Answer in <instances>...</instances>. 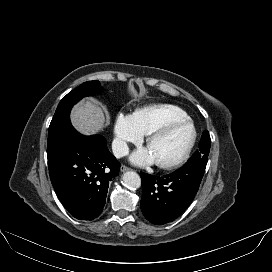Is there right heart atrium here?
I'll list each match as a JSON object with an SVG mask.
<instances>
[{"instance_id": "right-heart-atrium-1", "label": "right heart atrium", "mask_w": 272, "mask_h": 272, "mask_svg": "<svg viewBox=\"0 0 272 272\" xmlns=\"http://www.w3.org/2000/svg\"><path fill=\"white\" fill-rule=\"evenodd\" d=\"M143 135L135 126L133 116L120 112L117 114L114 124L113 151L116 156H123L127 153L129 144H137L142 140Z\"/></svg>"}]
</instances>
